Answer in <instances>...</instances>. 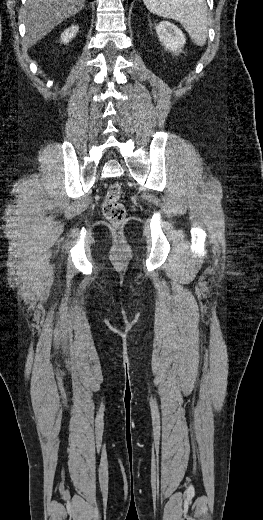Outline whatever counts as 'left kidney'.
Masks as SVG:
<instances>
[{
  "instance_id": "left-kidney-1",
  "label": "left kidney",
  "mask_w": 263,
  "mask_h": 520,
  "mask_svg": "<svg viewBox=\"0 0 263 520\" xmlns=\"http://www.w3.org/2000/svg\"><path fill=\"white\" fill-rule=\"evenodd\" d=\"M156 32L159 41L166 50L179 54L181 48L186 43L185 36L182 31L168 21H162L156 26Z\"/></svg>"
}]
</instances>
